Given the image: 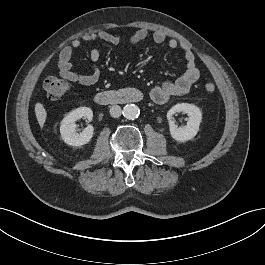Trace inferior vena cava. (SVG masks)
<instances>
[{"label": "inferior vena cava", "mask_w": 265, "mask_h": 265, "mask_svg": "<svg viewBox=\"0 0 265 265\" xmlns=\"http://www.w3.org/2000/svg\"><path fill=\"white\" fill-rule=\"evenodd\" d=\"M110 115L114 118H118L119 116H121V107L118 105H113L110 108Z\"/></svg>", "instance_id": "inferior-vena-cava-1"}]
</instances>
